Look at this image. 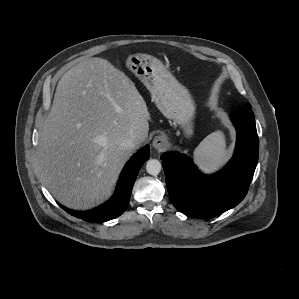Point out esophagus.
Segmentation results:
<instances>
[{"label": "esophagus", "instance_id": "1", "mask_svg": "<svg viewBox=\"0 0 299 299\" xmlns=\"http://www.w3.org/2000/svg\"><path fill=\"white\" fill-rule=\"evenodd\" d=\"M166 145H167V139L162 135H158L153 139L152 146L157 150L164 149Z\"/></svg>", "mask_w": 299, "mask_h": 299}]
</instances>
